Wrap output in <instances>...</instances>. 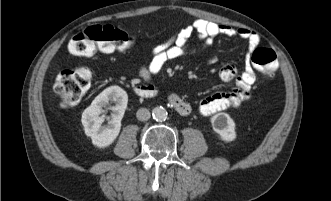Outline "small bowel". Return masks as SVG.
<instances>
[{
  "instance_id": "c3829d8e",
  "label": "small bowel",
  "mask_w": 331,
  "mask_h": 201,
  "mask_svg": "<svg viewBox=\"0 0 331 201\" xmlns=\"http://www.w3.org/2000/svg\"><path fill=\"white\" fill-rule=\"evenodd\" d=\"M194 34L197 35L201 45L198 50L190 51L189 40ZM222 35L239 37L247 41L248 53L245 68L238 75L234 64L224 65L219 71L220 79L223 82L234 81V88L228 92H216L203 99L198 106V113L202 116H210L219 111L240 106L243 101L251 97L252 86L256 81L251 53L258 46L260 38L257 33L249 29L234 28L225 24L196 19L175 33L168 41L153 49L150 62L139 70L140 78L144 82H148L167 62L182 58L191 52L207 50L212 46L214 40ZM209 61L213 63L216 58L211 57ZM168 101L175 111L182 116L189 115L192 112V107L177 94H170Z\"/></svg>"
}]
</instances>
